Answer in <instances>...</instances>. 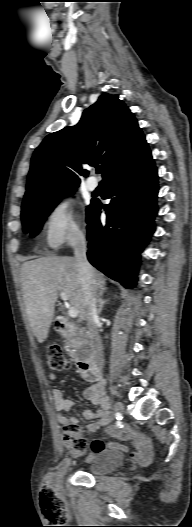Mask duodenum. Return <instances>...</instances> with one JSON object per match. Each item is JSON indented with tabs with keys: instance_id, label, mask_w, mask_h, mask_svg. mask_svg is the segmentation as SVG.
<instances>
[{
	"instance_id": "duodenum-1",
	"label": "duodenum",
	"mask_w": 192,
	"mask_h": 527,
	"mask_svg": "<svg viewBox=\"0 0 192 527\" xmlns=\"http://www.w3.org/2000/svg\"><path fill=\"white\" fill-rule=\"evenodd\" d=\"M57 327L60 334L64 337H71L75 334L74 325L66 319L58 318ZM77 364L83 378L88 381L98 383L102 381L100 369L97 360L94 356H89L87 358H79Z\"/></svg>"
}]
</instances>
